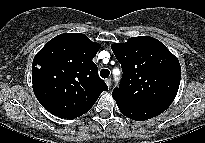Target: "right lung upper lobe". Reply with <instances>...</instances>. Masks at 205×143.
<instances>
[{"mask_svg": "<svg viewBox=\"0 0 205 143\" xmlns=\"http://www.w3.org/2000/svg\"><path fill=\"white\" fill-rule=\"evenodd\" d=\"M99 48L85 34L64 33L36 54L32 64L33 91L47 111L60 118H77L108 89L92 61Z\"/></svg>", "mask_w": 205, "mask_h": 143, "instance_id": "right-lung-upper-lobe-1", "label": "right lung upper lobe"}]
</instances>
